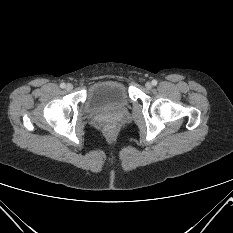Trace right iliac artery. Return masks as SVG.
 <instances>
[{
    "instance_id": "82829eb1",
    "label": "right iliac artery",
    "mask_w": 233,
    "mask_h": 233,
    "mask_svg": "<svg viewBox=\"0 0 233 233\" xmlns=\"http://www.w3.org/2000/svg\"><path fill=\"white\" fill-rule=\"evenodd\" d=\"M65 86H66L65 83H61V84H60V87H61V88H65Z\"/></svg>"
}]
</instances>
